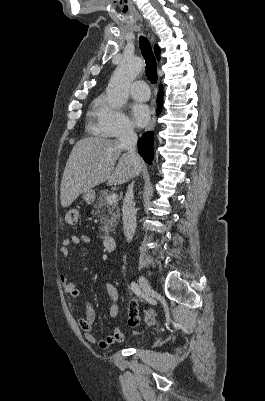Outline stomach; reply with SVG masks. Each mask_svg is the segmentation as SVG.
I'll return each instance as SVG.
<instances>
[{
  "label": "stomach",
  "instance_id": "0dacf381",
  "mask_svg": "<svg viewBox=\"0 0 265 401\" xmlns=\"http://www.w3.org/2000/svg\"><path fill=\"white\" fill-rule=\"evenodd\" d=\"M85 203H88V205H91L93 203L94 198H95V190L93 188H89V190H86V192H83L82 194Z\"/></svg>",
  "mask_w": 265,
  "mask_h": 401
}]
</instances>
